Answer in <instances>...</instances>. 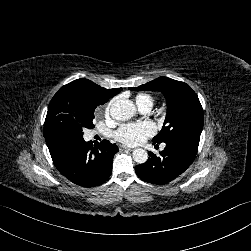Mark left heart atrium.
Returning <instances> with one entry per match:
<instances>
[{"mask_svg":"<svg viewBox=\"0 0 251 251\" xmlns=\"http://www.w3.org/2000/svg\"><path fill=\"white\" fill-rule=\"evenodd\" d=\"M156 127L151 122L128 123L119 126L114 132L115 139L126 145L138 144L152 136Z\"/></svg>","mask_w":251,"mask_h":251,"instance_id":"1","label":"left heart atrium"}]
</instances>
